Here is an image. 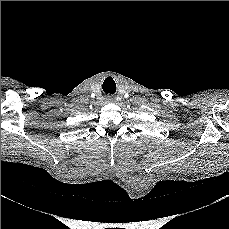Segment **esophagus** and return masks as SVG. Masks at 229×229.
I'll use <instances>...</instances> for the list:
<instances>
[{"label":"esophagus","instance_id":"34e87169","mask_svg":"<svg viewBox=\"0 0 229 229\" xmlns=\"http://www.w3.org/2000/svg\"><path fill=\"white\" fill-rule=\"evenodd\" d=\"M106 100H107L108 102H112L114 99H113L112 96H108V97L106 98Z\"/></svg>","mask_w":229,"mask_h":229}]
</instances>
